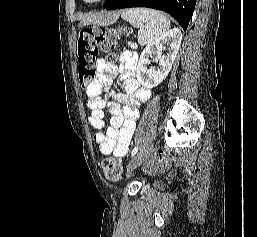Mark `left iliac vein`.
<instances>
[{
  "label": "left iliac vein",
  "instance_id": "obj_1",
  "mask_svg": "<svg viewBox=\"0 0 257 237\" xmlns=\"http://www.w3.org/2000/svg\"><path fill=\"white\" fill-rule=\"evenodd\" d=\"M152 150V145L140 150L137 155L129 162L127 170L130 172L138 167L149 155Z\"/></svg>",
  "mask_w": 257,
  "mask_h": 237
}]
</instances>
